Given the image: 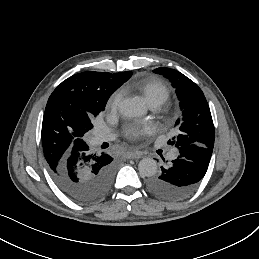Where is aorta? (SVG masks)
<instances>
[{
	"label": "aorta",
	"mask_w": 259,
	"mask_h": 259,
	"mask_svg": "<svg viewBox=\"0 0 259 259\" xmlns=\"http://www.w3.org/2000/svg\"><path fill=\"white\" fill-rule=\"evenodd\" d=\"M143 102L138 98H126L120 104V112L125 117H138L145 113ZM139 174L142 177H151L157 172V163L152 158H144L138 165Z\"/></svg>",
	"instance_id": "1"
}]
</instances>
